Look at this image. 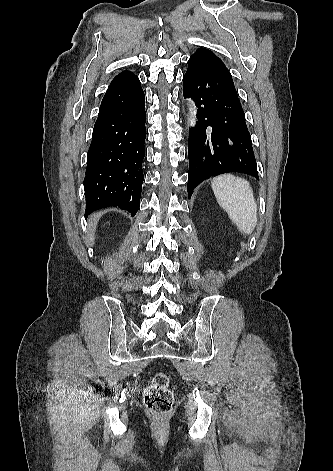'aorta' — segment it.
I'll return each instance as SVG.
<instances>
[{
	"label": "aorta",
	"instance_id": "obj_1",
	"mask_svg": "<svg viewBox=\"0 0 333 471\" xmlns=\"http://www.w3.org/2000/svg\"><path fill=\"white\" fill-rule=\"evenodd\" d=\"M189 114L191 118H194L195 113L192 108H189Z\"/></svg>",
	"mask_w": 333,
	"mask_h": 471
}]
</instances>
